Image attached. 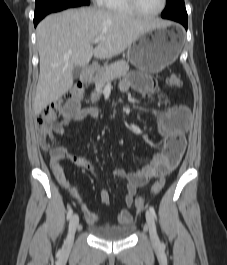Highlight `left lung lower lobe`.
I'll use <instances>...</instances> for the list:
<instances>
[{"label":"left lung lower lobe","instance_id":"obj_1","mask_svg":"<svg viewBox=\"0 0 227 265\" xmlns=\"http://www.w3.org/2000/svg\"><path fill=\"white\" fill-rule=\"evenodd\" d=\"M180 22L187 29V19H171Z\"/></svg>","mask_w":227,"mask_h":265}]
</instances>
